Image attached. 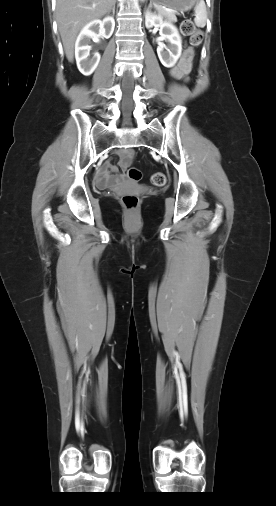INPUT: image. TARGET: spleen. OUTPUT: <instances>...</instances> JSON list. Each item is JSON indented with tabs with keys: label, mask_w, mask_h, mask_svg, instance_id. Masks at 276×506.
I'll use <instances>...</instances> for the list:
<instances>
[{
	"label": "spleen",
	"mask_w": 276,
	"mask_h": 506,
	"mask_svg": "<svg viewBox=\"0 0 276 506\" xmlns=\"http://www.w3.org/2000/svg\"><path fill=\"white\" fill-rule=\"evenodd\" d=\"M194 11H195L194 22H195L196 26L203 28L206 25V19H207L206 5H205L204 0L199 1V3L196 5Z\"/></svg>",
	"instance_id": "3e777b00"
}]
</instances>
